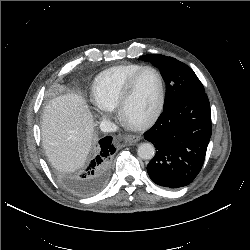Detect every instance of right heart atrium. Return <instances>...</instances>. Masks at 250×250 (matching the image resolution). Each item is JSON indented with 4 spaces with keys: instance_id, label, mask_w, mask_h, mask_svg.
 I'll list each match as a JSON object with an SVG mask.
<instances>
[{
    "instance_id": "1",
    "label": "right heart atrium",
    "mask_w": 250,
    "mask_h": 250,
    "mask_svg": "<svg viewBox=\"0 0 250 250\" xmlns=\"http://www.w3.org/2000/svg\"><path fill=\"white\" fill-rule=\"evenodd\" d=\"M97 112H98V116L102 119H106L108 117V112L104 108L99 107Z\"/></svg>"
}]
</instances>
